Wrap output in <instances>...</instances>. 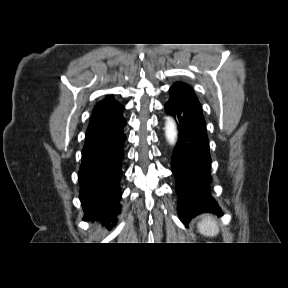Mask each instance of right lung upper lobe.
Masks as SVG:
<instances>
[{"instance_id":"right-lung-upper-lobe-1","label":"right lung upper lobe","mask_w":288,"mask_h":288,"mask_svg":"<svg viewBox=\"0 0 288 288\" xmlns=\"http://www.w3.org/2000/svg\"><path fill=\"white\" fill-rule=\"evenodd\" d=\"M123 110L124 106L113 97L99 102L94 107L84 146L96 145L115 135L125 122Z\"/></svg>"}]
</instances>
